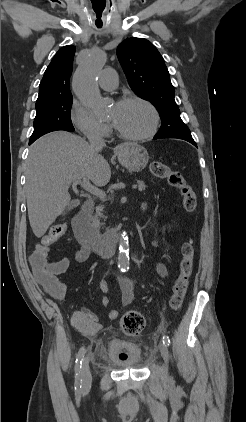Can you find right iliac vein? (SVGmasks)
<instances>
[{"mask_svg": "<svg viewBox=\"0 0 246 422\" xmlns=\"http://www.w3.org/2000/svg\"><path fill=\"white\" fill-rule=\"evenodd\" d=\"M82 384H83V388L87 389L92 381V376H91V372H90V367H89V356H86L83 360L82 363Z\"/></svg>", "mask_w": 246, "mask_h": 422, "instance_id": "63e3f726", "label": "right iliac vein"}]
</instances>
